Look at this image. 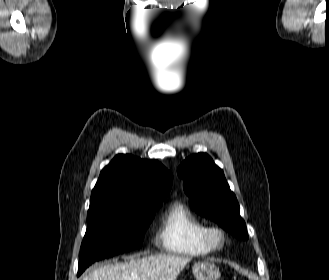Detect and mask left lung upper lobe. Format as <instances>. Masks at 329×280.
<instances>
[{
  "instance_id": "left-lung-upper-lobe-1",
  "label": "left lung upper lobe",
  "mask_w": 329,
  "mask_h": 280,
  "mask_svg": "<svg viewBox=\"0 0 329 280\" xmlns=\"http://www.w3.org/2000/svg\"><path fill=\"white\" fill-rule=\"evenodd\" d=\"M177 172L184 178L183 188L194 211L213 219L236 238L248 239L236 196L210 156L205 153L191 155Z\"/></svg>"
}]
</instances>
